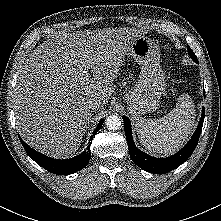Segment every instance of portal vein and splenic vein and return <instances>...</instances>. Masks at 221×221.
Returning a JSON list of instances; mask_svg holds the SVG:
<instances>
[{"label":"portal vein and splenic vein","mask_w":221,"mask_h":221,"mask_svg":"<svg viewBox=\"0 0 221 221\" xmlns=\"http://www.w3.org/2000/svg\"><path fill=\"white\" fill-rule=\"evenodd\" d=\"M83 73H84L86 76L89 75L88 71H83Z\"/></svg>","instance_id":"1"}]
</instances>
